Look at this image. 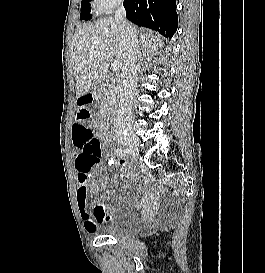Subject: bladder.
<instances>
[{
  "instance_id": "obj_1",
  "label": "bladder",
  "mask_w": 265,
  "mask_h": 273,
  "mask_svg": "<svg viewBox=\"0 0 265 273\" xmlns=\"http://www.w3.org/2000/svg\"><path fill=\"white\" fill-rule=\"evenodd\" d=\"M141 219L136 214L115 215L98 227V232L104 236L116 239L135 236L141 228Z\"/></svg>"
}]
</instances>
